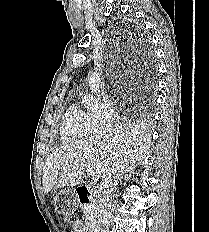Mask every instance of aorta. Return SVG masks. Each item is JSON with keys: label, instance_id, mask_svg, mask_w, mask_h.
Returning a JSON list of instances; mask_svg holds the SVG:
<instances>
[{"label": "aorta", "instance_id": "aorta-1", "mask_svg": "<svg viewBox=\"0 0 209 232\" xmlns=\"http://www.w3.org/2000/svg\"><path fill=\"white\" fill-rule=\"evenodd\" d=\"M88 82L92 93H97L101 87V79L97 70L91 71L88 76Z\"/></svg>", "mask_w": 209, "mask_h": 232}]
</instances>
